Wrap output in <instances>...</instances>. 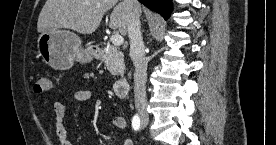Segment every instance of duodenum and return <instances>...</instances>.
<instances>
[{
  "label": "duodenum",
  "instance_id": "410a0bca",
  "mask_svg": "<svg viewBox=\"0 0 276 145\" xmlns=\"http://www.w3.org/2000/svg\"><path fill=\"white\" fill-rule=\"evenodd\" d=\"M129 89V80L126 75H121V77L114 83L113 91L115 95L120 98L124 99L127 96Z\"/></svg>",
  "mask_w": 276,
  "mask_h": 145
}]
</instances>
